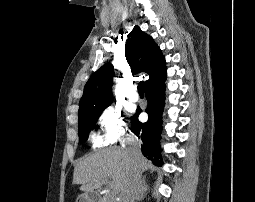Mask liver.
<instances>
[{
  "label": "liver",
  "mask_w": 255,
  "mask_h": 202,
  "mask_svg": "<svg viewBox=\"0 0 255 202\" xmlns=\"http://www.w3.org/2000/svg\"><path fill=\"white\" fill-rule=\"evenodd\" d=\"M134 167L133 161L127 149L113 147L99 150L81 159L75 166L73 184L81 185L80 190L93 192L101 188L110 178V188L117 194L121 193L130 179ZM138 167L144 172L148 167V161L140 156Z\"/></svg>",
  "instance_id": "obj_1"
}]
</instances>
